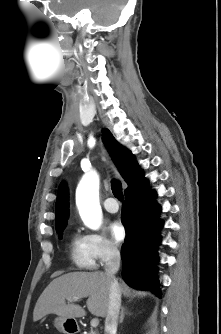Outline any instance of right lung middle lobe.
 Returning <instances> with one entry per match:
<instances>
[{"instance_id": "1", "label": "right lung middle lobe", "mask_w": 221, "mask_h": 334, "mask_svg": "<svg viewBox=\"0 0 221 334\" xmlns=\"http://www.w3.org/2000/svg\"><path fill=\"white\" fill-rule=\"evenodd\" d=\"M63 229H64V228H60V229H57V230H56L57 233H59V238H61V236H62L61 232L63 231Z\"/></svg>"}]
</instances>
